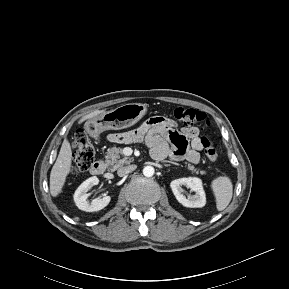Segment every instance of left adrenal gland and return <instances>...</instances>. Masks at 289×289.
Returning <instances> with one entry per match:
<instances>
[{
	"instance_id": "obj_1",
	"label": "left adrenal gland",
	"mask_w": 289,
	"mask_h": 289,
	"mask_svg": "<svg viewBox=\"0 0 289 289\" xmlns=\"http://www.w3.org/2000/svg\"><path fill=\"white\" fill-rule=\"evenodd\" d=\"M165 166H170V164H165Z\"/></svg>"
}]
</instances>
